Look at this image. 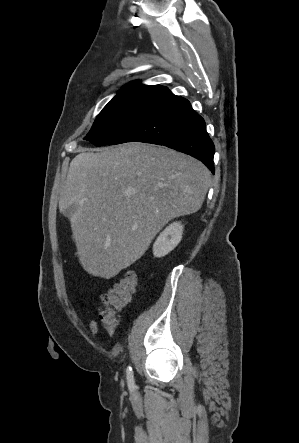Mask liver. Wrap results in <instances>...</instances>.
Instances as JSON below:
<instances>
[{"label": "liver", "instance_id": "liver-1", "mask_svg": "<svg viewBox=\"0 0 299 443\" xmlns=\"http://www.w3.org/2000/svg\"><path fill=\"white\" fill-rule=\"evenodd\" d=\"M211 182L199 160L145 143L82 152L59 195L83 269L109 279L140 259L170 220L197 212Z\"/></svg>", "mask_w": 299, "mask_h": 443}]
</instances>
